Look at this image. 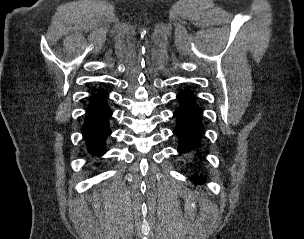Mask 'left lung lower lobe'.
Listing matches in <instances>:
<instances>
[{
  "instance_id": "left-lung-lower-lobe-1",
  "label": "left lung lower lobe",
  "mask_w": 304,
  "mask_h": 239,
  "mask_svg": "<svg viewBox=\"0 0 304 239\" xmlns=\"http://www.w3.org/2000/svg\"><path fill=\"white\" fill-rule=\"evenodd\" d=\"M180 106L174 111L177 118V125L173 133L178 137V152H188L194 150L202 136L203 126L201 122V112L194 101V96L190 91H184L177 95ZM194 182L202 183L203 177L195 176Z\"/></svg>"
}]
</instances>
